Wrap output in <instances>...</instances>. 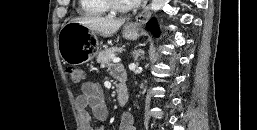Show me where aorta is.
Wrapping results in <instances>:
<instances>
[{
    "label": "aorta",
    "instance_id": "1",
    "mask_svg": "<svg viewBox=\"0 0 257 130\" xmlns=\"http://www.w3.org/2000/svg\"><path fill=\"white\" fill-rule=\"evenodd\" d=\"M166 3V0H152L151 9L158 11Z\"/></svg>",
    "mask_w": 257,
    "mask_h": 130
}]
</instances>
